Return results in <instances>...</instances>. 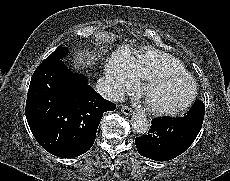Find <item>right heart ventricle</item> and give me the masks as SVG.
<instances>
[{
  "instance_id": "e07e8e85",
  "label": "right heart ventricle",
  "mask_w": 230,
  "mask_h": 181,
  "mask_svg": "<svg viewBox=\"0 0 230 181\" xmlns=\"http://www.w3.org/2000/svg\"><path fill=\"white\" fill-rule=\"evenodd\" d=\"M109 63L143 80L156 72L184 69L178 60L146 46H123L112 54Z\"/></svg>"
}]
</instances>
